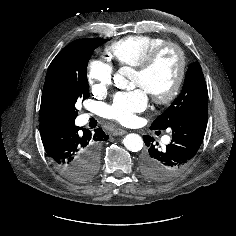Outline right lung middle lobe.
I'll list each match as a JSON object with an SVG mask.
<instances>
[{
    "label": "right lung middle lobe",
    "instance_id": "1",
    "mask_svg": "<svg viewBox=\"0 0 236 236\" xmlns=\"http://www.w3.org/2000/svg\"><path fill=\"white\" fill-rule=\"evenodd\" d=\"M108 41L84 38L71 42L51 62L42 95L62 120L75 119L76 102L89 97L87 64L95 48ZM98 170V156L88 164L82 180L92 178Z\"/></svg>",
    "mask_w": 236,
    "mask_h": 236
}]
</instances>
